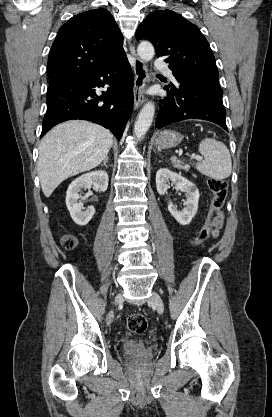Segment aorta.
Here are the masks:
<instances>
[{"label":"aorta","mask_w":272,"mask_h":417,"mask_svg":"<svg viewBox=\"0 0 272 417\" xmlns=\"http://www.w3.org/2000/svg\"><path fill=\"white\" fill-rule=\"evenodd\" d=\"M137 53L144 61H150L154 57L155 49L150 42L143 41L139 44ZM154 114V104L152 102L146 103L140 111L134 125V135L138 140L142 139L149 130Z\"/></svg>","instance_id":"aorta-1"}]
</instances>
